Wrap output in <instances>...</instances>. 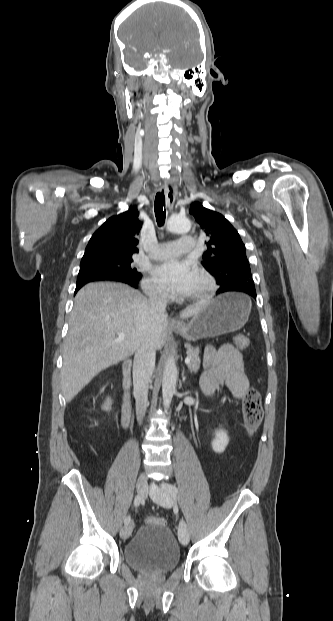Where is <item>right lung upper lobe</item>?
<instances>
[{"label": "right lung upper lobe", "mask_w": 333, "mask_h": 621, "mask_svg": "<svg viewBox=\"0 0 333 621\" xmlns=\"http://www.w3.org/2000/svg\"><path fill=\"white\" fill-rule=\"evenodd\" d=\"M134 208L110 217L91 237L82 259L103 257H132L138 252L137 236L142 222Z\"/></svg>", "instance_id": "1"}]
</instances>
